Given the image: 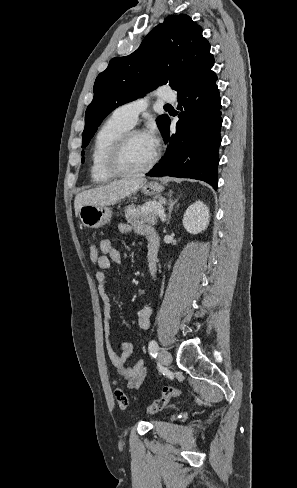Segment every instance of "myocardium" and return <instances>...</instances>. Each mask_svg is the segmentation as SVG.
I'll return each instance as SVG.
<instances>
[{
    "label": "myocardium",
    "mask_w": 297,
    "mask_h": 488,
    "mask_svg": "<svg viewBox=\"0 0 297 488\" xmlns=\"http://www.w3.org/2000/svg\"><path fill=\"white\" fill-rule=\"evenodd\" d=\"M144 134L139 129H129L124 132L112 145L108 157L107 168L116 177L134 176L146 173L151 170L159 159V152L155 150L154 156L147 165L139 169H126L122 165V157L124 150L132 137L135 135Z\"/></svg>",
    "instance_id": "f54148a6"
}]
</instances>
